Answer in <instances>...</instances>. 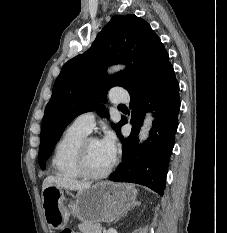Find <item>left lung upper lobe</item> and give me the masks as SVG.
Listing matches in <instances>:
<instances>
[{
  "instance_id": "left-lung-upper-lobe-1",
  "label": "left lung upper lobe",
  "mask_w": 227,
  "mask_h": 233,
  "mask_svg": "<svg viewBox=\"0 0 227 233\" xmlns=\"http://www.w3.org/2000/svg\"><path fill=\"white\" fill-rule=\"evenodd\" d=\"M128 64L124 71L105 79L107 66ZM168 53L160 38L143 19L116 15L98 33L84 54L69 60L62 68L45 108L41 127L38 161L42 169L60 139L64 128L79 114L97 110L109 117L99 102H105L107 90L121 86L130 94L149 88L169 67ZM122 121L112 127L118 133Z\"/></svg>"
}]
</instances>
